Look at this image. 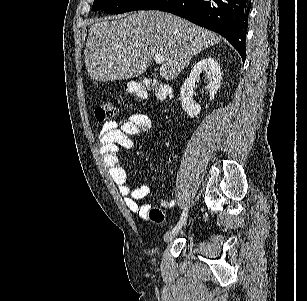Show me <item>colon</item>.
I'll use <instances>...</instances> for the list:
<instances>
[{
  "label": "colon",
  "mask_w": 307,
  "mask_h": 301,
  "mask_svg": "<svg viewBox=\"0 0 307 301\" xmlns=\"http://www.w3.org/2000/svg\"><path fill=\"white\" fill-rule=\"evenodd\" d=\"M127 92L135 101H143L150 91L157 98L166 99L171 95L170 88L158 80L133 81L127 84ZM115 116V107L111 100H104L95 108V117L100 122H107ZM148 218L155 223H162L165 219L164 212L156 207L150 208Z\"/></svg>",
  "instance_id": "5ec220e1"
}]
</instances>
